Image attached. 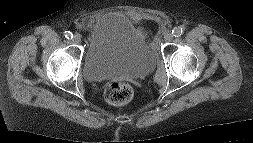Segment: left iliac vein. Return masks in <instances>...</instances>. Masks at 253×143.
Masks as SVG:
<instances>
[{"label": "left iliac vein", "mask_w": 253, "mask_h": 143, "mask_svg": "<svg viewBox=\"0 0 253 143\" xmlns=\"http://www.w3.org/2000/svg\"><path fill=\"white\" fill-rule=\"evenodd\" d=\"M164 40H165L166 42H171V41L173 40V34H172V33H166V34L164 35Z\"/></svg>", "instance_id": "4c4485c4"}]
</instances>
